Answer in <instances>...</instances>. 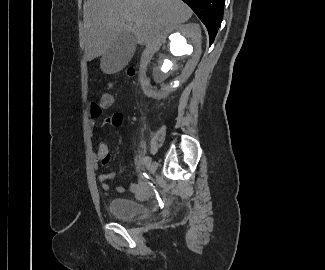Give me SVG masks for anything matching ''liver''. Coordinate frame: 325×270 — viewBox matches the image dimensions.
Here are the masks:
<instances>
[{
  "label": "liver",
  "instance_id": "6515ba94",
  "mask_svg": "<svg viewBox=\"0 0 325 270\" xmlns=\"http://www.w3.org/2000/svg\"><path fill=\"white\" fill-rule=\"evenodd\" d=\"M192 10L181 0H87L84 6L85 59L103 56L123 32L156 48L166 30L188 21ZM130 19H136V22Z\"/></svg>",
  "mask_w": 325,
  "mask_h": 270
}]
</instances>
